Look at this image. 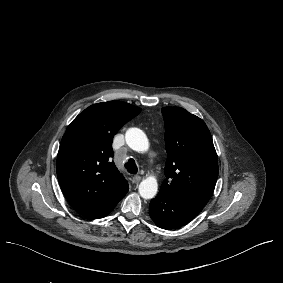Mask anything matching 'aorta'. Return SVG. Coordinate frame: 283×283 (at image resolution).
Instances as JSON below:
<instances>
[{"instance_id":"1","label":"aorta","mask_w":283,"mask_h":283,"mask_svg":"<svg viewBox=\"0 0 283 283\" xmlns=\"http://www.w3.org/2000/svg\"><path fill=\"white\" fill-rule=\"evenodd\" d=\"M125 139L127 145L134 151L144 153L149 148L146 134L139 128H129L126 131ZM139 194L144 199H152L158 191V183L155 177L148 176L139 184Z\"/></svg>"}]
</instances>
